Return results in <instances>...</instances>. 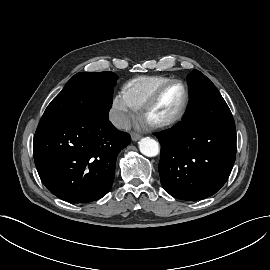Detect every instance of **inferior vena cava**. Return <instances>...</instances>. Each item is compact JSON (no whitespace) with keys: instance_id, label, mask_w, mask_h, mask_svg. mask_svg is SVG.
Wrapping results in <instances>:
<instances>
[{"instance_id":"602c4592","label":"inferior vena cava","mask_w":270,"mask_h":270,"mask_svg":"<svg viewBox=\"0 0 270 270\" xmlns=\"http://www.w3.org/2000/svg\"><path fill=\"white\" fill-rule=\"evenodd\" d=\"M109 119L117 129L129 130L131 128L129 117L122 112L112 111Z\"/></svg>"}]
</instances>
